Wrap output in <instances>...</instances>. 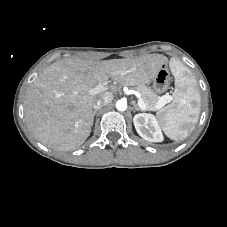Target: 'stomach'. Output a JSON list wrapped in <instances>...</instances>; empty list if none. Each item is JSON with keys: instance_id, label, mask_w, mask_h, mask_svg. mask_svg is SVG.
<instances>
[{"instance_id": "obj_1", "label": "stomach", "mask_w": 227, "mask_h": 227, "mask_svg": "<svg viewBox=\"0 0 227 227\" xmlns=\"http://www.w3.org/2000/svg\"><path fill=\"white\" fill-rule=\"evenodd\" d=\"M153 80V88L156 93H164L170 86V73L167 70V66L163 65L159 70L157 75L152 79Z\"/></svg>"}]
</instances>
